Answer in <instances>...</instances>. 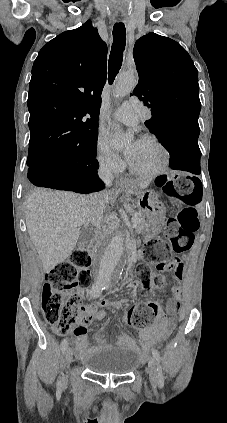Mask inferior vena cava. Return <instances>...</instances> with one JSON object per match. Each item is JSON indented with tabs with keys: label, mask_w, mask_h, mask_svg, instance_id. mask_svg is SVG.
<instances>
[{
	"label": "inferior vena cava",
	"mask_w": 227,
	"mask_h": 423,
	"mask_svg": "<svg viewBox=\"0 0 227 423\" xmlns=\"http://www.w3.org/2000/svg\"><path fill=\"white\" fill-rule=\"evenodd\" d=\"M98 176L99 178H101V180H103L104 184H106V186H110V184H112L114 178H113V174H112V168H111V162L110 160H105V162H100V166H99V170H98ZM91 204H92V200H91ZM94 225H99V223H97L96 219H94L93 221Z\"/></svg>",
	"instance_id": "602c4592"
}]
</instances>
